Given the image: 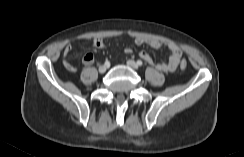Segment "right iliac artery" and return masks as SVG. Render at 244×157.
Here are the masks:
<instances>
[{
  "mask_svg": "<svg viewBox=\"0 0 244 157\" xmlns=\"http://www.w3.org/2000/svg\"><path fill=\"white\" fill-rule=\"evenodd\" d=\"M105 65L106 66H109L110 65V62L108 60L105 61Z\"/></svg>",
  "mask_w": 244,
  "mask_h": 157,
  "instance_id": "obj_1",
  "label": "right iliac artery"
}]
</instances>
